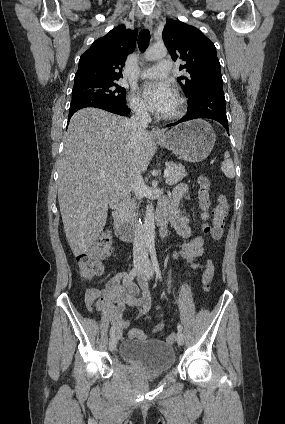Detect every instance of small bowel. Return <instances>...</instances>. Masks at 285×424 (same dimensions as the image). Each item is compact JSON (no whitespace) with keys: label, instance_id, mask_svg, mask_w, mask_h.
<instances>
[{"label":"small bowel","instance_id":"obj_1","mask_svg":"<svg viewBox=\"0 0 285 424\" xmlns=\"http://www.w3.org/2000/svg\"><path fill=\"white\" fill-rule=\"evenodd\" d=\"M189 198V189L186 185H178L172 194V197L167 202L164 215L168 218L179 233L184 238L193 237L190 241L183 243L173 252V259H182L185 267L190 270L202 269L198 263V259L203 255V238L196 235V229L191 226L187 217L181 215L176 206L181 197ZM127 274H118L113 277L105 289L89 288L85 295V305L89 311L104 310L109 313L113 324L120 335L123 330L130 326L129 320L122 317L124 305L135 307L139 310L140 317L149 314L152 310L150 291L148 281L143 275L138 276V286L128 282ZM123 282L124 286L120 285ZM112 298L118 301L115 306L112 303ZM154 317L157 323L154 326V332L162 331L164 322L162 312L159 308L154 311Z\"/></svg>","mask_w":285,"mask_h":424}]
</instances>
